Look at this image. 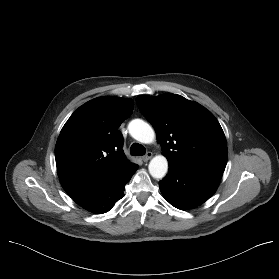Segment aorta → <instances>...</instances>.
Masks as SVG:
<instances>
[{
	"label": "aorta",
	"mask_w": 279,
	"mask_h": 279,
	"mask_svg": "<svg viewBox=\"0 0 279 279\" xmlns=\"http://www.w3.org/2000/svg\"><path fill=\"white\" fill-rule=\"evenodd\" d=\"M130 135L137 141L150 144L155 139L153 128L141 119H134L128 125ZM149 173L153 178L162 179L168 171V161L165 156L158 155L151 159Z\"/></svg>",
	"instance_id": "obj_1"
}]
</instances>
